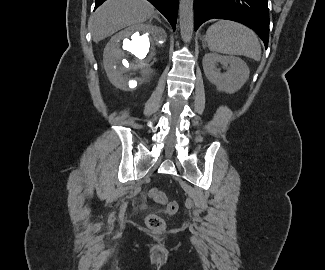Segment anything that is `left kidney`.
<instances>
[{
  "mask_svg": "<svg viewBox=\"0 0 325 270\" xmlns=\"http://www.w3.org/2000/svg\"><path fill=\"white\" fill-rule=\"evenodd\" d=\"M219 63L229 67L227 72L221 73L216 68ZM202 64L207 79L216 86L218 91L235 93L249 78L248 66L238 57L207 53L203 57Z\"/></svg>",
  "mask_w": 325,
  "mask_h": 270,
  "instance_id": "left-kidney-1",
  "label": "left kidney"
}]
</instances>
